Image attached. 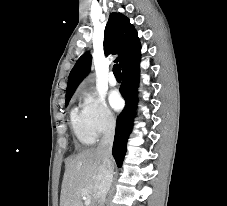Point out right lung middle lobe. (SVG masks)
Listing matches in <instances>:
<instances>
[{
	"label": "right lung middle lobe",
	"instance_id": "1",
	"mask_svg": "<svg viewBox=\"0 0 227 206\" xmlns=\"http://www.w3.org/2000/svg\"><path fill=\"white\" fill-rule=\"evenodd\" d=\"M71 97H66V104H68Z\"/></svg>",
	"mask_w": 227,
	"mask_h": 206
}]
</instances>
